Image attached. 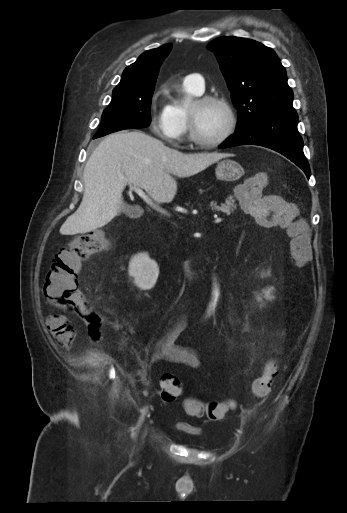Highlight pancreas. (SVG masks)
Masks as SVG:
<instances>
[{
	"label": "pancreas",
	"mask_w": 347,
	"mask_h": 513,
	"mask_svg": "<svg viewBox=\"0 0 347 513\" xmlns=\"http://www.w3.org/2000/svg\"><path fill=\"white\" fill-rule=\"evenodd\" d=\"M210 207L213 211L222 212L227 216H230L234 212V209H236V204L233 197L229 196L226 198L225 202L220 205H217L215 202H211Z\"/></svg>",
	"instance_id": "obj_1"
}]
</instances>
